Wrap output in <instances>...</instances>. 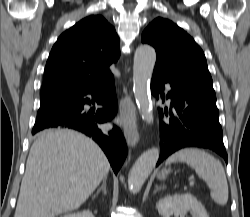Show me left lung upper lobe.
<instances>
[{
  "instance_id": "1",
  "label": "left lung upper lobe",
  "mask_w": 250,
  "mask_h": 217,
  "mask_svg": "<svg viewBox=\"0 0 250 217\" xmlns=\"http://www.w3.org/2000/svg\"><path fill=\"white\" fill-rule=\"evenodd\" d=\"M141 40L156 50L154 72L170 80L213 85L202 49L172 21L156 18L144 30Z\"/></svg>"
}]
</instances>
